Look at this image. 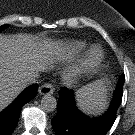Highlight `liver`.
Segmentation results:
<instances>
[{
    "mask_svg": "<svg viewBox=\"0 0 135 135\" xmlns=\"http://www.w3.org/2000/svg\"><path fill=\"white\" fill-rule=\"evenodd\" d=\"M64 57L65 50L54 43L37 42L26 34H0V112L25 89L28 73L38 75Z\"/></svg>",
    "mask_w": 135,
    "mask_h": 135,
    "instance_id": "liver-1",
    "label": "liver"
}]
</instances>
